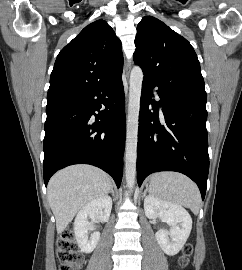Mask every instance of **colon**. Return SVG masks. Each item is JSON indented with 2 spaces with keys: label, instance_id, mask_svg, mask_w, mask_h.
Returning <instances> with one entry per match:
<instances>
[{
  "label": "colon",
  "instance_id": "colon-1",
  "mask_svg": "<svg viewBox=\"0 0 242 270\" xmlns=\"http://www.w3.org/2000/svg\"><path fill=\"white\" fill-rule=\"evenodd\" d=\"M192 251L191 245L184 246L183 256L180 259V265L182 267L187 266ZM57 256L59 270H75L81 265L83 256L77 248L72 229L65 230L59 237L57 241Z\"/></svg>",
  "mask_w": 242,
  "mask_h": 270
}]
</instances>
